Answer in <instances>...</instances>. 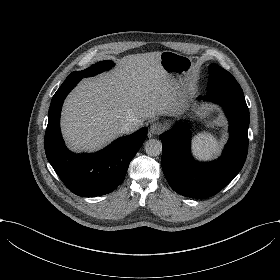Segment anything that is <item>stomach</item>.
Segmentation results:
<instances>
[{"label": "stomach", "instance_id": "0dacf381", "mask_svg": "<svg viewBox=\"0 0 280 280\" xmlns=\"http://www.w3.org/2000/svg\"><path fill=\"white\" fill-rule=\"evenodd\" d=\"M160 65L168 74L171 85L174 87L179 107L178 115L188 122H193L195 110L193 105L197 78L195 65L191 57L174 51L165 50L160 53Z\"/></svg>", "mask_w": 280, "mask_h": 280}]
</instances>
